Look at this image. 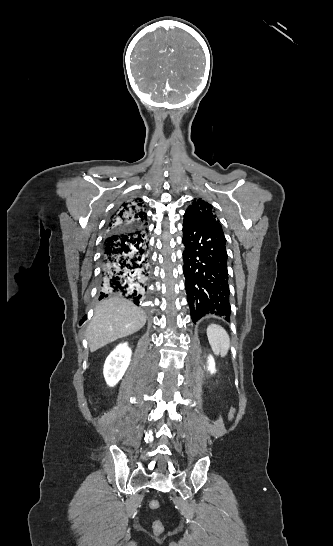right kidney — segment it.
I'll list each match as a JSON object with an SVG mask.
<instances>
[{
    "mask_svg": "<svg viewBox=\"0 0 333 546\" xmlns=\"http://www.w3.org/2000/svg\"><path fill=\"white\" fill-rule=\"evenodd\" d=\"M132 351L127 343L118 345L106 358L103 374L110 387L115 386L123 377L131 360Z\"/></svg>",
    "mask_w": 333,
    "mask_h": 546,
    "instance_id": "obj_1",
    "label": "right kidney"
}]
</instances>
